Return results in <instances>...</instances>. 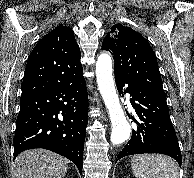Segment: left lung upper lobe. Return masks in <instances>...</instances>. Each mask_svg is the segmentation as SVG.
<instances>
[{
	"label": "left lung upper lobe",
	"mask_w": 194,
	"mask_h": 178,
	"mask_svg": "<svg viewBox=\"0 0 194 178\" xmlns=\"http://www.w3.org/2000/svg\"><path fill=\"white\" fill-rule=\"evenodd\" d=\"M102 49L113 55L115 78L163 90L156 55L140 33L116 24L104 38Z\"/></svg>",
	"instance_id": "5c2ea615"
}]
</instances>
